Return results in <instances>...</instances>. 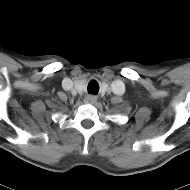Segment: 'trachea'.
I'll use <instances>...</instances> for the list:
<instances>
[{
  "label": "trachea",
  "mask_w": 190,
  "mask_h": 190,
  "mask_svg": "<svg viewBox=\"0 0 190 190\" xmlns=\"http://www.w3.org/2000/svg\"><path fill=\"white\" fill-rule=\"evenodd\" d=\"M87 90H88V93H91V94H97L99 92V84L97 81L95 80H92L88 87H87Z\"/></svg>",
  "instance_id": "1"
}]
</instances>
